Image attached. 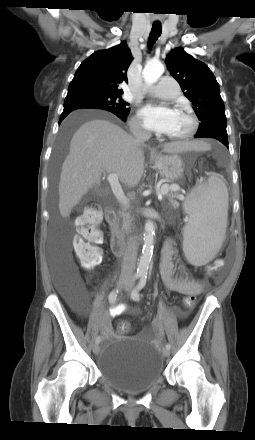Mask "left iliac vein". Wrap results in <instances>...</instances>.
I'll use <instances>...</instances> for the list:
<instances>
[{
    "mask_svg": "<svg viewBox=\"0 0 255 440\" xmlns=\"http://www.w3.org/2000/svg\"><path fill=\"white\" fill-rule=\"evenodd\" d=\"M130 288H131V287H128V288H127V291H129ZM163 355L166 356V357H168V356L170 355V349H168V348L165 347V348L163 349Z\"/></svg>",
    "mask_w": 255,
    "mask_h": 440,
    "instance_id": "obj_1",
    "label": "left iliac vein"
}]
</instances>
